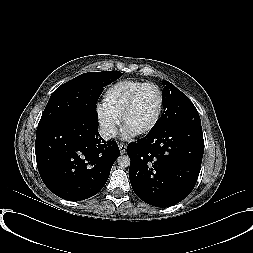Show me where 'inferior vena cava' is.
Instances as JSON below:
<instances>
[{
  "instance_id": "inferior-vena-cava-1",
  "label": "inferior vena cava",
  "mask_w": 253,
  "mask_h": 253,
  "mask_svg": "<svg viewBox=\"0 0 253 253\" xmlns=\"http://www.w3.org/2000/svg\"><path fill=\"white\" fill-rule=\"evenodd\" d=\"M117 129L114 126H102L99 129V134L104 140H110L116 136Z\"/></svg>"
}]
</instances>
